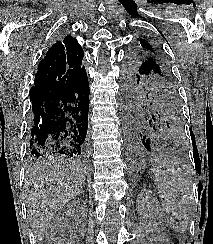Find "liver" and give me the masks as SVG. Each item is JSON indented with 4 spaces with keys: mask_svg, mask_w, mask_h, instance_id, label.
Instances as JSON below:
<instances>
[{
    "mask_svg": "<svg viewBox=\"0 0 213 244\" xmlns=\"http://www.w3.org/2000/svg\"><path fill=\"white\" fill-rule=\"evenodd\" d=\"M81 165L69 158L52 156L37 162L26 174L25 197L30 225L40 236L55 213L83 189Z\"/></svg>",
    "mask_w": 213,
    "mask_h": 244,
    "instance_id": "6515ba94",
    "label": "liver"
}]
</instances>
